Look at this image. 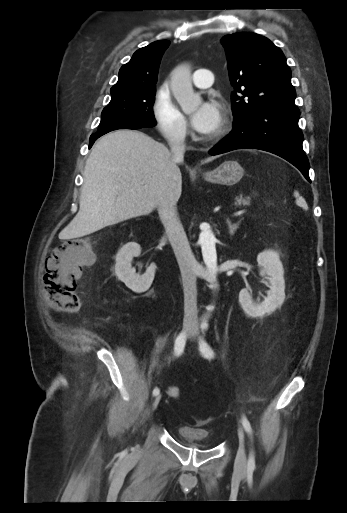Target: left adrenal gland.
Masks as SVG:
<instances>
[{"mask_svg":"<svg viewBox=\"0 0 347 513\" xmlns=\"http://www.w3.org/2000/svg\"><path fill=\"white\" fill-rule=\"evenodd\" d=\"M242 220H243V218L239 219L238 222L232 224V222L230 221L229 218L226 219V223L228 225L230 236H233L235 234V232H236L237 228H239V225L241 224Z\"/></svg>","mask_w":347,"mask_h":513,"instance_id":"left-adrenal-gland-1","label":"left adrenal gland"}]
</instances>
